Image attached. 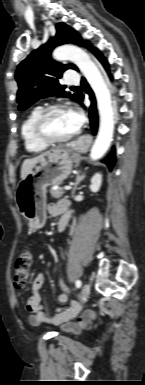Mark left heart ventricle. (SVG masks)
Masks as SVG:
<instances>
[{
  "label": "left heart ventricle",
  "instance_id": "b2bd125f",
  "mask_svg": "<svg viewBox=\"0 0 145 385\" xmlns=\"http://www.w3.org/2000/svg\"><path fill=\"white\" fill-rule=\"evenodd\" d=\"M46 129L54 138H64L78 130L67 110L52 113L47 120Z\"/></svg>",
  "mask_w": 145,
  "mask_h": 385
}]
</instances>
